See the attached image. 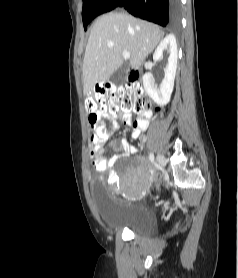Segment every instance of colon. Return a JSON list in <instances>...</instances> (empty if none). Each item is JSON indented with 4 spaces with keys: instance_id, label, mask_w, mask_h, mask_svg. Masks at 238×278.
Returning a JSON list of instances; mask_svg holds the SVG:
<instances>
[{
    "instance_id": "colon-1",
    "label": "colon",
    "mask_w": 238,
    "mask_h": 278,
    "mask_svg": "<svg viewBox=\"0 0 238 278\" xmlns=\"http://www.w3.org/2000/svg\"><path fill=\"white\" fill-rule=\"evenodd\" d=\"M151 104L142 95V89L135 81L128 85L116 87L105 84L88 94L85 108L91 126H95L102 112L113 113L117 110L144 113L149 111Z\"/></svg>"
}]
</instances>
